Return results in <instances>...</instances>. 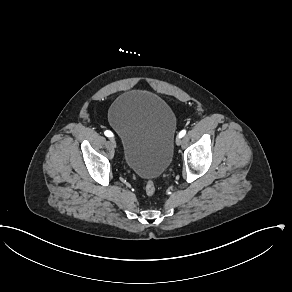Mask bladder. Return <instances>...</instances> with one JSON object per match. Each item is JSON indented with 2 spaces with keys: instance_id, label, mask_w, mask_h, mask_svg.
I'll use <instances>...</instances> for the list:
<instances>
[{
  "instance_id": "obj_1",
  "label": "bladder",
  "mask_w": 292,
  "mask_h": 292,
  "mask_svg": "<svg viewBox=\"0 0 292 292\" xmlns=\"http://www.w3.org/2000/svg\"><path fill=\"white\" fill-rule=\"evenodd\" d=\"M126 167L143 178H156L168 168L176 132V116L156 94L131 90L120 94L109 110Z\"/></svg>"
}]
</instances>
